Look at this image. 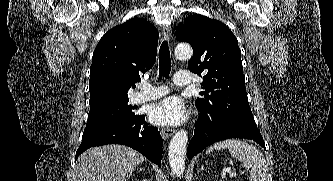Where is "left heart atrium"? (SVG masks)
Wrapping results in <instances>:
<instances>
[{"mask_svg": "<svg viewBox=\"0 0 333 181\" xmlns=\"http://www.w3.org/2000/svg\"><path fill=\"white\" fill-rule=\"evenodd\" d=\"M187 118L185 104L175 96L168 97L151 106L149 119L157 125H179Z\"/></svg>", "mask_w": 333, "mask_h": 181, "instance_id": "left-heart-atrium-1", "label": "left heart atrium"}]
</instances>
